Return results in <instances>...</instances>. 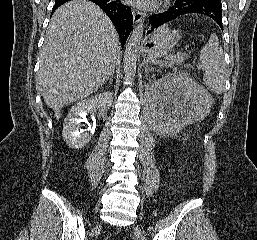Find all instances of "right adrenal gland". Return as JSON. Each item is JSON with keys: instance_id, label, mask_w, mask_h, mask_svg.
<instances>
[{"instance_id": "1", "label": "right adrenal gland", "mask_w": 257, "mask_h": 240, "mask_svg": "<svg viewBox=\"0 0 257 240\" xmlns=\"http://www.w3.org/2000/svg\"><path fill=\"white\" fill-rule=\"evenodd\" d=\"M113 75H114V71L111 73V75H110V76L108 77V79L105 81V83L109 81V83L111 84L112 81H113Z\"/></svg>"}]
</instances>
